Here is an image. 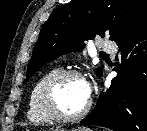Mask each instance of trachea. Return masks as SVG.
Returning a JSON list of instances; mask_svg holds the SVG:
<instances>
[{"label": "trachea", "instance_id": "trachea-1", "mask_svg": "<svg viewBox=\"0 0 147 131\" xmlns=\"http://www.w3.org/2000/svg\"><path fill=\"white\" fill-rule=\"evenodd\" d=\"M103 56H107V54H103Z\"/></svg>", "mask_w": 147, "mask_h": 131}]
</instances>
